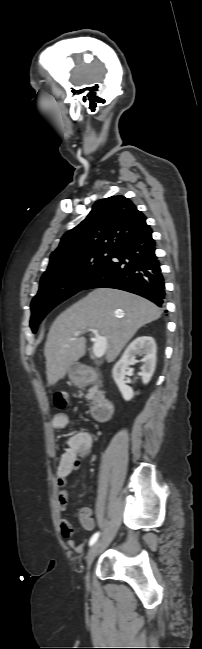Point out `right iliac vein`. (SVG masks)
Wrapping results in <instances>:
<instances>
[{
	"label": "right iliac vein",
	"instance_id": "1",
	"mask_svg": "<svg viewBox=\"0 0 202 649\" xmlns=\"http://www.w3.org/2000/svg\"><path fill=\"white\" fill-rule=\"evenodd\" d=\"M100 546H101V541H97L92 545V547L90 548V550L88 552V556H87V573L85 575V581H86L87 586H89L90 567H91L95 557L97 556V554L99 552Z\"/></svg>",
	"mask_w": 202,
	"mask_h": 649
}]
</instances>
